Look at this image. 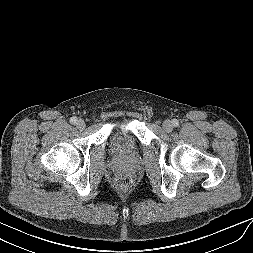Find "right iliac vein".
I'll list each match as a JSON object with an SVG mask.
<instances>
[{"label":"right iliac vein","mask_w":253,"mask_h":253,"mask_svg":"<svg viewBox=\"0 0 253 253\" xmlns=\"http://www.w3.org/2000/svg\"><path fill=\"white\" fill-rule=\"evenodd\" d=\"M85 122H84V120H82V119H79L77 122H76V127L78 128V129H84L85 128Z\"/></svg>","instance_id":"63e3f726"}]
</instances>
